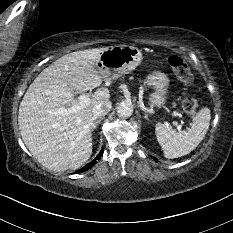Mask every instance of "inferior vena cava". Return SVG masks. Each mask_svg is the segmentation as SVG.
<instances>
[{
	"mask_svg": "<svg viewBox=\"0 0 233 233\" xmlns=\"http://www.w3.org/2000/svg\"><path fill=\"white\" fill-rule=\"evenodd\" d=\"M111 108L112 103L109 100L96 104L92 110L94 118L107 114Z\"/></svg>",
	"mask_w": 233,
	"mask_h": 233,
	"instance_id": "602c4592",
	"label": "inferior vena cava"
}]
</instances>
